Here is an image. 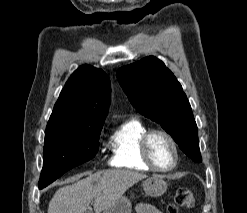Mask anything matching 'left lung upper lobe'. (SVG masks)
Here are the masks:
<instances>
[{
  "label": "left lung upper lobe",
  "instance_id": "obj_1",
  "mask_svg": "<svg viewBox=\"0 0 247 213\" xmlns=\"http://www.w3.org/2000/svg\"><path fill=\"white\" fill-rule=\"evenodd\" d=\"M117 78L136 110L159 123L187 156L201 162L191 106L181 84L164 63L149 56L121 67Z\"/></svg>",
  "mask_w": 247,
  "mask_h": 213
}]
</instances>
